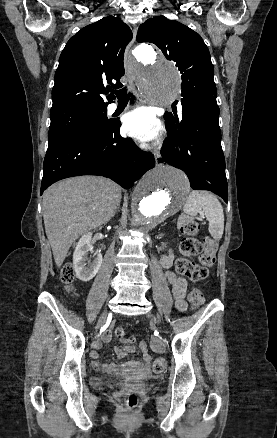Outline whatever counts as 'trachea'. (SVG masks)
<instances>
[{
  "mask_svg": "<svg viewBox=\"0 0 277 438\" xmlns=\"http://www.w3.org/2000/svg\"><path fill=\"white\" fill-rule=\"evenodd\" d=\"M111 92L112 93L114 92L116 94L118 100H128L129 99V95L126 93L127 92L126 88H124L122 90H117V91L111 90Z\"/></svg>",
  "mask_w": 277,
  "mask_h": 438,
  "instance_id": "3493384b",
  "label": "trachea"
}]
</instances>
